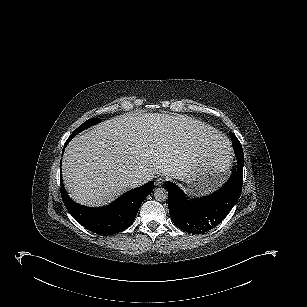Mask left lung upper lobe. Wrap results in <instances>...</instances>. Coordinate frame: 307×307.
<instances>
[{
    "mask_svg": "<svg viewBox=\"0 0 307 307\" xmlns=\"http://www.w3.org/2000/svg\"><path fill=\"white\" fill-rule=\"evenodd\" d=\"M229 133H230V137H231V140H232V144H233L237 159L238 158H244L243 149H242V146H241L239 140L236 138V136L233 133H231V132H229Z\"/></svg>",
    "mask_w": 307,
    "mask_h": 307,
    "instance_id": "obj_1",
    "label": "left lung upper lobe"
}]
</instances>
